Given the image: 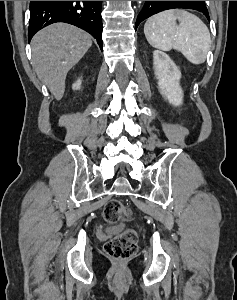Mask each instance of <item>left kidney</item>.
<instances>
[{"label": "left kidney", "instance_id": "1", "mask_svg": "<svg viewBox=\"0 0 237 300\" xmlns=\"http://www.w3.org/2000/svg\"><path fill=\"white\" fill-rule=\"evenodd\" d=\"M153 61L161 95L166 97L170 105L179 107L183 103V91L180 87L181 73L177 65L163 51H154Z\"/></svg>", "mask_w": 237, "mask_h": 300}]
</instances>
